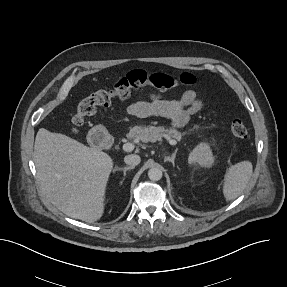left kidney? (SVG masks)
<instances>
[{"mask_svg":"<svg viewBox=\"0 0 287 287\" xmlns=\"http://www.w3.org/2000/svg\"><path fill=\"white\" fill-rule=\"evenodd\" d=\"M189 164L210 168L214 163L212 151L207 143L198 145L189 155Z\"/></svg>","mask_w":287,"mask_h":287,"instance_id":"left-kidney-1","label":"left kidney"}]
</instances>
